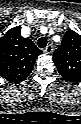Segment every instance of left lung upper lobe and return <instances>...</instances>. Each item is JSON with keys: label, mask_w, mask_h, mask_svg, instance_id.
I'll use <instances>...</instances> for the list:
<instances>
[{"label": "left lung upper lobe", "mask_w": 81, "mask_h": 124, "mask_svg": "<svg viewBox=\"0 0 81 124\" xmlns=\"http://www.w3.org/2000/svg\"><path fill=\"white\" fill-rule=\"evenodd\" d=\"M53 61L59 74L67 81H81V35L68 30L61 45L53 53Z\"/></svg>", "instance_id": "5c2ea615"}]
</instances>
